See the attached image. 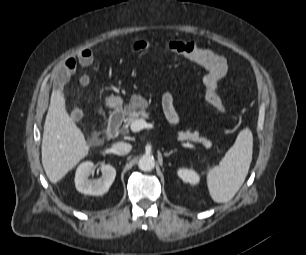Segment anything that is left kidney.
I'll return each mask as SVG.
<instances>
[{
    "label": "left kidney",
    "instance_id": "5707ae66",
    "mask_svg": "<svg viewBox=\"0 0 306 255\" xmlns=\"http://www.w3.org/2000/svg\"><path fill=\"white\" fill-rule=\"evenodd\" d=\"M177 174L186 183L195 185L200 181V176L193 169L180 168Z\"/></svg>",
    "mask_w": 306,
    "mask_h": 255
}]
</instances>
